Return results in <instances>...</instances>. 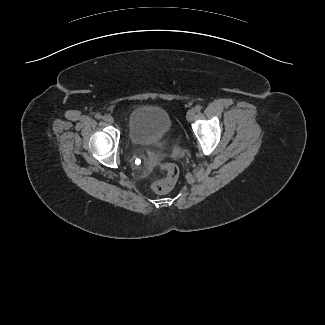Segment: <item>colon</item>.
<instances>
[{
    "instance_id": "obj_1",
    "label": "colon",
    "mask_w": 325,
    "mask_h": 325,
    "mask_svg": "<svg viewBox=\"0 0 325 325\" xmlns=\"http://www.w3.org/2000/svg\"><path fill=\"white\" fill-rule=\"evenodd\" d=\"M164 177L151 183L150 188L157 194H165L171 191L177 183L179 170L176 165L167 163L161 168Z\"/></svg>"
}]
</instances>
